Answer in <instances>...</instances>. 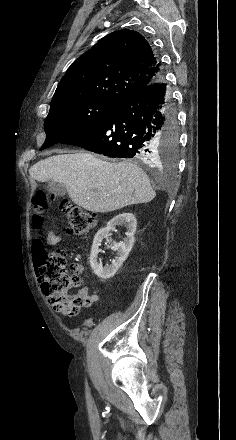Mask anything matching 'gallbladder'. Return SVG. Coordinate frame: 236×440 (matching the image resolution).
<instances>
[{
	"label": "gallbladder",
	"mask_w": 236,
	"mask_h": 440,
	"mask_svg": "<svg viewBox=\"0 0 236 440\" xmlns=\"http://www.w3.org/2000/svg\"><path fill=\"white\" fill-rule=\"evenodd\" d=\"M48 190L57 197L64 196L67 193V189L64 184L59 182H48Z\"/></svg>",
	"instance_id": "bac80fb5"
}]
</instances>
